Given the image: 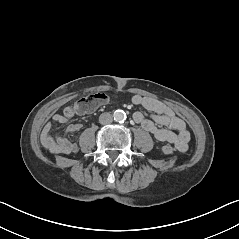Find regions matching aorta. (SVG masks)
Here are the masks:
<instances>
[{
  "label": "aorta",
  "instance_id": "obj_1",
  "mask_svg": "<svg viewBox=\"0 0 239 239\" xmlns=\"http://www.w3.org/2000/svg\"><path fill=\"white\" fill-rule=\"evenodd\" d=\"M113 116H114V120L119 123L125 121L127 118V115L123 110H116Z\"/></svg>",
  "mask_w": 239,
  "mask_h": 239
}]
</instances>
